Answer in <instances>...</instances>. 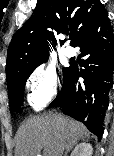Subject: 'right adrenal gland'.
<instances>
[{"label":"right adrenal gland","mask_w":114,"mask_h":156,"mask_svg":"<svg viewBox=\"0 0 114 156\" xmlns=\"http://www.w3.org/2000/svg\"><path fill=\"white\" fill-rule=\"evenodd\" d=\"M76 145V144H74ZM72 149V147L70 149H67L66 152H65V156H67V154L69 153V151Z\"/></svg>","instance_id":"obj_1"}]
</instances>
